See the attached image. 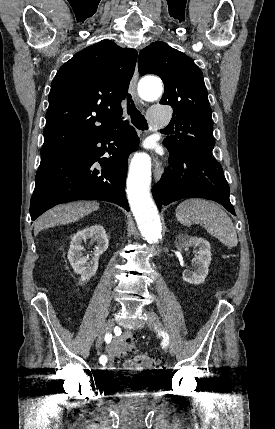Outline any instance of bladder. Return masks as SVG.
Masks as SVG:
<instances>
[{
    "label": "bladder",
    "instance_id": "31cf9c89",
    "mask_svg": "<svg viewBox=\"0 0 275 429\" xmlns=\"http://www.w3.org/2000/svg\"><path fill=\"white\" fill-rule=\"evenodd\" d=\"M106 385V398H117L118 403H145L158 393L153 377H107Z\"/></svg>",
    "mask_w": 275,
    "mask_h": 429
}]
</instances>
